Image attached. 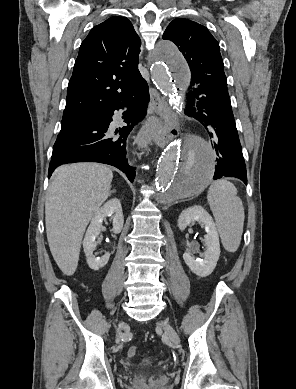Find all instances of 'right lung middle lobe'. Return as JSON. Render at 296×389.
Here are the masks:
<instances>
[{
    "mask_svg": "<svg viewBox=\"0 0 296 389\" xmlns=\"http://www.w3.org/2000/svg\"><path fill=\"white\" fill-rule=\"evenodd\" d=\"M90 117L83 118H70V119H62L61 121V131H65L71 128H74L80 124L85 123L89 120Z\"/></svg>",
    "mask_w": 296,
    "mask_h": 389,
    "instance_id": "obj_1",
    "label": "right lung middle lobe"
}]
</instances>
